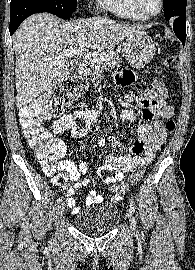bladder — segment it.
<instances>
[{
    "label": "bladder",
    "mask_w": 195,
    "mask_h": 270,
    "mask_svg": "<svg viewBox=\"0 0 195 270\" xmlns=\"http://www.w3.org/2000/svg\"><path fill=\"white\" fill-rule=\"evenodd\" d=\"M119 219L118 207L104 204L80 211L73 223L77 229L86 234L99 235L112 230L118 224Z\"/></svg>",
    "instance_id": "31cf9c89"
}]
</instances>
